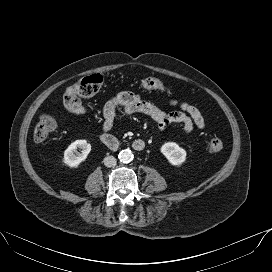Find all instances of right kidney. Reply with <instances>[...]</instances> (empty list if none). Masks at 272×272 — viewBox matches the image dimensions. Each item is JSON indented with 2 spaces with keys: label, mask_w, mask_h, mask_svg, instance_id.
<instances>
[{
  "label": "right kidney",
  "mask_w": 272,
  "mask_h": 272,
  "mask_svg": "<svg viewBox=\"0 0 272 272\" xmlns=\"http://www.w3.org/2000/svg\"><path fill=\"white\" fill-rule=\"evenodd\" d=\"M77 148L82 149L81 153L77 152ZM90 151L91 145L86 140H76L65 150L63 163L71 168H77L86 159Z\"/></svg>",
  "instance_id": "1"
}]
</instances>
